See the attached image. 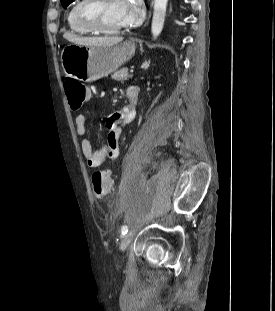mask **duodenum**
<instances>
[{
	"label": "duodenum",
	"instance_id": "1",
	"mask_svg": "<svg viewBox=\"0 0 275 311\" xmlns=\"http://www.w3.org/2000/svg\"><path fill=\"white\" fill-rule=\"evenodd\" d=\"M131 101H132V102H135V100H134L133 98H131Z\"/></svg>",
	"mask_w": 275,
	"mask_h": 311
}]
</instances>
